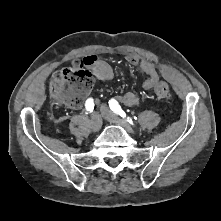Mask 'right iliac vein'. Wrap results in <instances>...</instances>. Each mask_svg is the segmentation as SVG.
Masks as SVG:
<instances>
[{
	"mask_svg": "<svg viewBox=\"0 0 221 221\" xmlns=\"http://www.w3.org/2000/svg\"><path fill=\"white\" fill-rule=\"evenodd\" d=\"M102 127V119L99 113H94L91 120V129L93 132H98Z\"/></svg>",
	"mask_w": 221,
	"mask_h": 221,
	"instance_id": "1",
	"label": "right iliac vein"
}]
</instances>
